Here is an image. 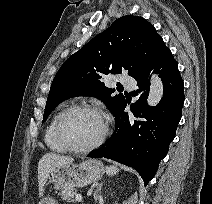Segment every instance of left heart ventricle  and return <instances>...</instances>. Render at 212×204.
Returning a JSON list of instances; mask_svg holds the SVG:
<instances>
[{
	"instance_id": "left-heart-ventricle-1",
	"label": "left heart ventricle",
	"mask_w": 212,
	"mask_h": 204,
	"mask_svg": "<svg viewBox=\"0 0 212 204\" xmlns=\"http://www.w3.org/2000/svg\"><path fill=\"white\" fill-rule=\"evenodd\" d=\"M102 126V119L99 115L87 111H76L65 119L63 131L71 145L85 147L99 137Z\"/></svg>"
}]
</instances>
